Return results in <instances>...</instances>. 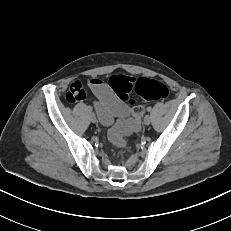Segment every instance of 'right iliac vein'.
Instances as JSON below:
<instances>
[{
  "label": "right iliac vein",
  "instance_id": "right-iliac-vein-1",
  "mask_svg": "<svg viewBox=\"0 0 231 231\" xmlns=\"http://www.w3.org/2000/svg\"><path fill=\"white\" fill-rule=\"evenodd\" d=\"M90 120L92 123H96L97 120H96V116L94 113H90Z\"/></svg>",
  "mask_w": 231,
  "mask_h": 231
}]
</instances>
